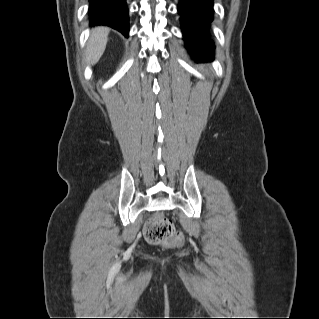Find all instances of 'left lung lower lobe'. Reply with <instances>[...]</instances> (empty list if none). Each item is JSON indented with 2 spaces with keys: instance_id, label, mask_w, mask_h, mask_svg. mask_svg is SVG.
<instances>
[{
  "instance_id": "left-lung-lower-lobe-1",
  "label": "left lung lower lobe",
  "mask_w": 319,
  "mask_h": 319,
  "mask_svg": "<svg viewBox=\"0 0 319 319\" xmlns=\"http://www.w3.org/2000/svg\"><path fill=\"white\" fill-rule=\"evenodd\" d=\"M213 12V0H180L178 4L183 39L195 60H208L214 56L215 45L210 38Z\"/></svg>"
}]
</instances>
